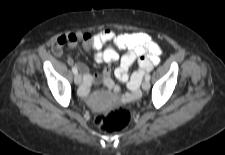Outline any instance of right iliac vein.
<instances>
[{"mask_svg": "<svg viewBox=\"0 0 225 155\" xmlns=\"http://www.w3.org/2000/svg\"><path fill=\"white\" fill-rule=\"evenodd\" d=\"M74 82L76 85H80L81 82H82V78H81V75L80 74H75L74 76Z\"/></svg>", "mask_w": 225, "mask_h": 155, "instance_id": "right-iliac-vein-1", "label": "right iliac vein"}]
</instances>
